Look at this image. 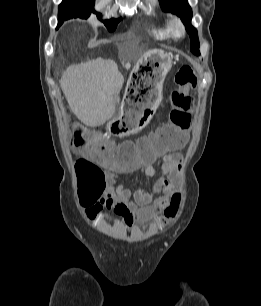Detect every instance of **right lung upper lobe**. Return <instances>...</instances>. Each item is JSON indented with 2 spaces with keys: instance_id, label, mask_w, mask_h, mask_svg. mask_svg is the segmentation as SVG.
I'll return each mask as SVG.
<instances>
[{
  "instance_id": "cb5924a9",
  "label": "right lung upper lobe",
  "mask_w": 261,
  "mask_h": 306,
  "mask_svg": "<svg viewBox=\"0 0 261 306\" xmlns=\"http://www.w3.org/2000/svg\"><path fill=\"white\" fill-rule=\"evenodd\" d=\"M71 1H74V0H63L62 3L71 2Z\"/></svg>"
}]
</instances>
